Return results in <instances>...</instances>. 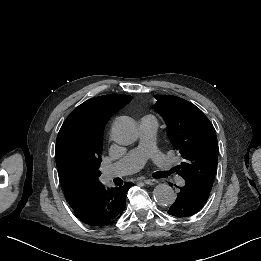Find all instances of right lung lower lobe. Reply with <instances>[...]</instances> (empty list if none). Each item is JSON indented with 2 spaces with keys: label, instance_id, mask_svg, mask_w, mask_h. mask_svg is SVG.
<instances>
[{
  "label": "right lung lower lobe",
  "instance_id": "98d812e1",
  "mask_svg": "<svg viewBox=\"0 0 261 261\" xmlns=\"http://www.w3.org/2000/svg\"><path fill=\"white\" fill-rule=\"evenodd\" d=\"M133 183L105 189L99 183L84 197L69 202L76 217L90 226H103L116 221L126 207V193Z\"/></svg>",
  "mask_w": 261,
  "mask_h": 261
}]
</instances>
